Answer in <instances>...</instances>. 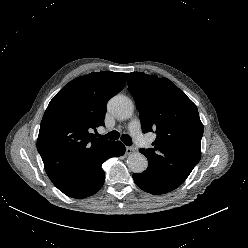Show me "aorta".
<instances>
[{
	"label": "aorta",
	"instance_id": "762f6f07",
	"mask_svg": "<svg viewBox=\"0 0 248 248\" xmlns=\"http://www.w3.org/2000/svg\"><path fill=\"white\" fill-rule=\"evenodd\" d=\"M110 113L121 120L129 119L134 112L132 100L124 95H116L108 102ZM129 169L134 173H142L147 169V158L141 153H132L127 159Z\"/></svg>",
	"mask_w": 248,
	"mask_h": 248
}]
</instances>
